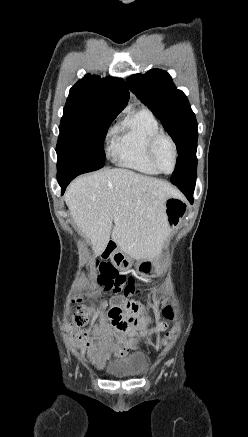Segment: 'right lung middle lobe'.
<instances>
[{"instance_id":"dd1d6c3e","label":"right lung middle lobe","mask_w":248,"mask_h":437,"mask_svg":"<svg viewBox=\"0 0 248 437\" xmlns=\"http://www.w3.org/2000/svg\"><path fill=\"white\" fill-rule=\"evenodd\" d=\"M115 118L64 112L56 148L58 171L77 170L86 173L102 168L105 164L104 139Z\"/></svg>"}]
</instances>
